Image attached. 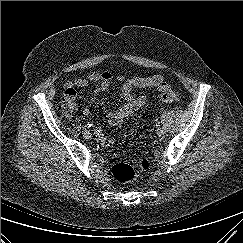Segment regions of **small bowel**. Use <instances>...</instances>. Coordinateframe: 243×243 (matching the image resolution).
Segmentation results:
<instances>
[{
	"mask_svg": "<svg viewBox=\"0 0 243 243\" xmlns=\"http://www.w3.org/2000/svg\"><path fill=\"white\" fill-rule=\"evenodd\" d=\"M113 82L121 85L120 96L123 103L114 111L107 114L106 122L110 126L119 125L146 103L145 95H134L133 91L135 89L158 91L169 89V84L162 75L126 77L123 75H112L107 71H103L91 72L87 77H78L74 80L67 81L64 85L65 97L72 102L73 109H75L76 105L74 100L76 88H84L90 84H95L97 86L96 94H99L105 91ZM82 113L85 116H89L91 110L86 107L82 110ZM95 135L103 144H108L110 142L101 129H96Z\"/></svg>",
	"mask_w": 243,
	"mask_h": 243,
	"instance_id": "small-bowel-1",
	"label": "small bowel"
}]
</instances>
